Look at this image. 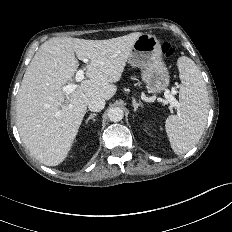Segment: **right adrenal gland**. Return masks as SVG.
I'll use <instances>...</instances> for the list:
<instances>
[{"mask_svg": "<svg viewBox=\"0 0 232 232\" xmlns=\"http://www.w3.org/2000/svg\"><path fill=\"white\" fill-rule=\"evenodd\" d=\"M96 116H97L96 113L90 114L89 117H88L87 120H86V124H88V122H89L90 120H92L93 122H95V117H96Z\"/></svg>", "mask_w": 232, "mask_h": 232, "instance_id": "1", "label": "right adrenal gland"}]
</instances>
